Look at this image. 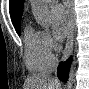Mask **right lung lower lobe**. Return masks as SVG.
I'll return each instance as SVG.
<instances>
[{"mask_svg": "<svg viewBox=\"0 0 89 89\" xmlns=\"http://www.w3.org/2000/svg\"><path fill=\"white\" fill-rule=\"evenodd\" d=\"M70 63L71 59L67 60L65 63H60L58 67V77L61 81H66L68 79Z\"/></svg>", "mask_w": 89, "mask_h": 89, "instance_id": "obj_1", "label": "right lung lower lobe"}]
</instances>
